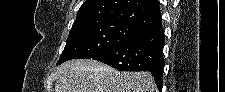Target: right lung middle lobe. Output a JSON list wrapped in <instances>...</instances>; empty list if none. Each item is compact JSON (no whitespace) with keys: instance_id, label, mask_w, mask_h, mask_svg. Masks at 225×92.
<instances>
[{"instance_id":"dd1d6c3e","label":"right lung middle lobe","mask_w":225,"mask_h":92,"mask_svg":"<svg viewBox=\"0 0 225 92\" xmlns=\"http://www.w3.org/2000/svg\"><path fill=\"white\" fill-rule=\"evenodd\" d=\"M143 32L120 22L84 24L72 27L57 65L75 58L95 55L129 42Z\"/></svg>"}]
</instances>
